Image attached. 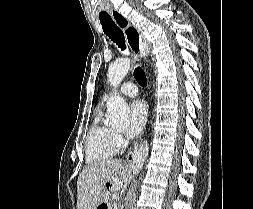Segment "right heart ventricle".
<instances>
[{
    "label": "right heart ventricle",
    "instance_id": "obj_1",
    "mask_svg": "<svg viewBox=\"0 0 253 209\" xmlns=\"http://www.w3.org/2000/svg\"><path fill=\"white\" fill-rule=\"evenodd\" d=\"M117 148L115 132L101 122L99 109L88 131L86 161L93 164L109 159L115 155Z\"/></svg>",
    "mask_w": 253,
    "mask_h": 209
}]
</instances>
